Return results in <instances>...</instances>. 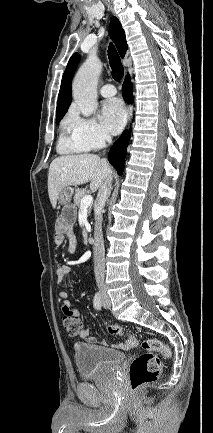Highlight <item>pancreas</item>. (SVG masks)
Here are the masks:
<instances>
[{
    "instance_id": "cf45deb5",
    "label": "pancreas",
    "mask_w": 213,
    "mask_h": 433,
    "mask_svg": "<svg viewBox=\"0 0 213 433\" xmlns=\"http://www.w3.org/2000/svg\"><path fill=\"white\" fill-rule=\"evenodd\" d=\"M86 196V189H79L77 188L75 191V196H74V203L76 206L80 207L81 206V200L83 197ZM91 206L88 207V214H90L91 212Z\"/></svg>"
}]
</instances>
